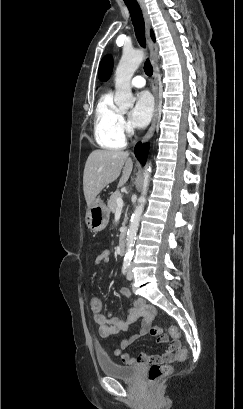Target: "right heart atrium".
<instances>
[{"instance_id":"right-heart-atrium-1","label":"right heart atrium","mask_w":243,"mask_h":409,"mask_svg":"<svg viewBox=\"0 0 243 409\" xmlns=\"http://www.w3.org/2000/svg\"><path fill=\"white\" fill-rule=\"evenodd\" d=\"M118 125H119V129H120V131L122 132L123 135L130 132V128L127 125L125 119L122 116L119 119Z\"/></svg>"}]
</instances>
